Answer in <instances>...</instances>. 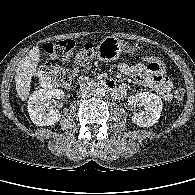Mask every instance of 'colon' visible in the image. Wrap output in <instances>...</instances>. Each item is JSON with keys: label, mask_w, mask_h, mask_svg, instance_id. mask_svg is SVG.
<instances>
[{"label": "colon", "mask_w": 195, "mask_h": 195, "mask_svg": "<svg viewBox=\"0 0 195 195\" xmlns=\"http://www.w3.org/2000/svg\"><path fill=\"white\" fill-rule=\"evenodd\" d=\"M75 48L73 40H59L44 44V52L52 59L66 60ZM94 57L93 45L89 42L82 45L77 56V64L79 66H87ZM142 64L146 71L158 77H166L165 66L160 59L155 56L147 55L143 58ZM37 77L40 83L47 87H65L72 83L74 79L73 71L63 68L56 64H45L38 72ZM185 92L182 88L174 91V98L181 101Z\"/></svg>", "instance_id": "colon-1"}]
</instances>
